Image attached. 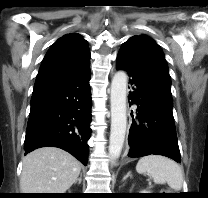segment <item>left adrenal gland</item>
<instances>
[{"instance_id": "left-adrenal-gland-1", "label": "left adrenal gland", "mask_w": 208, "mask_h": 198, "mask_svg": "<svg viewBox=\"0 0 208 198\" xmlns=\"http://www.w3.org/2000/svg\"><path fill=\"white\" fill-rule=\"evenodd\" d=\"M128 177H132L131 171H128V173L123 177L122 181H125Z\"/></svg>"}]
</instances>
